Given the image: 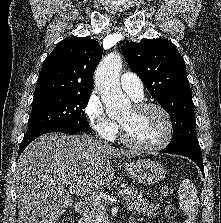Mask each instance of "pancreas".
<instances>
[{"label":"pancreas","instance_id":"cf45deb5","mask_svg":"<svg viewBox=\"0 0 221 223\" xmlns=\"http://www.w3.org/2000/svg\"><path fill=\"white\" fill-rule=\"evenodd\" d=\"M124 191L126 207L132 212V214H143L144 216L156 215L154 213L158 207L154 204H149L148 200L144 196L134 189L132 186H127ZM107 212L104 203L100 205L91 204L90 211L87 212L83 218L80 220V223H107Z\"/></svg>","mask_w":221,"mask_h":223}]
</instances>
